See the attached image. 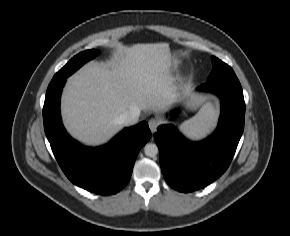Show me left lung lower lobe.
<instances>
[{
	"instance_id": "0a47b994",
	"label": "left lung lower lobe",
	"mask_w": 290,
	"mask_h": 236,
	"mask_svg": "<svg viewBox=\"0 0 290 236\" xmlns=\"http://www.w3.org/2000/svg\"><path fill=\"white\" fill-rule=\"evenodd\" d=\"M197 90L221 100L216 131L201 142L187 140L172 125H161L154 134L166 182L185 193L209 185L227 170L244 129L245 102L236 76L208 81Z\"/></svg>"
}]
</instances>
